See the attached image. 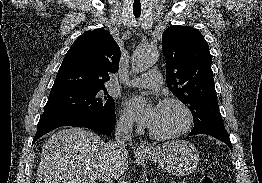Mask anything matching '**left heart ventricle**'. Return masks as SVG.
Listing matches in <instances>:
<instances>
[{"instance_id": "1", "label": "left heart ventricle", "mask_w": 262, "mask_h": 183, "mask_svg": "<svg viewBox=\"0 0 262 183\" xmlns=\"http://www.w3.org/2000/svg\"><path fill=\"white\" fill-rule=\"evenodd\" d=\"M187 122L184 110L176 104H159L150 129L161 135H168L181 130Z\"/></svg>"}]
</instances>
